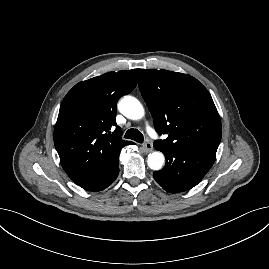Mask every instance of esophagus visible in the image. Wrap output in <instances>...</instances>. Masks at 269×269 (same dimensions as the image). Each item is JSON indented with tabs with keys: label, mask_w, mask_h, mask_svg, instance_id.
<instances>
[{
	"label": "esophagus",
	"mask_w": 269,
	"mask_h": 269,
	"mask_svg": "<svg viewBox=\"0 0 269 269\" xmlns=\"http://www.w3.org/2000/svg\"><path fill=\"white\" fill-rule=\"evenodd\" d=\"M144 151L149 153L153 151V145L150 141H146L143 145Z\"/></svg>",
	"instance_id": "34e87169"
}]
</instances>
